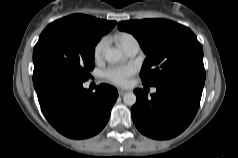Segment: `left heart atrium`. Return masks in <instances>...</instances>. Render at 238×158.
<instances>
[{
    "mask_svg": "<svg viewBox=\"0 0 238 158\" xmlns=\"http://www.w3.org/2000/svg\"><path fill=\"white\" fill-rule=\"evenodd\" d=\"M136 69L132 65H115L109 67L105 72V77L112 83L125 86Z\"/></svg>",
    "mask_w": 238,
    "mask_h": 158,
    "instance_id": "39dd6f15",
    "label": "left heart atrium"
}]
</instances>
